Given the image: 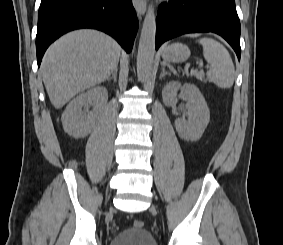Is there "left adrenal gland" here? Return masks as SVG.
<instances>
[{"mask_svg": "<svg viewBox=\"0 0 283 245\" xmlns=\"http://www.w3.org/2000/svg\"><path fill=\"white\" fill-rule=\"evenodd\" d=\"M165 75H170V73L165 71V67H162V72L160 74V79H162Z\"/></svg>", "mask_w": 283, "mask_h": 245, "instance_id": "1", "label": "left adrenal gland"}]
</instances>
